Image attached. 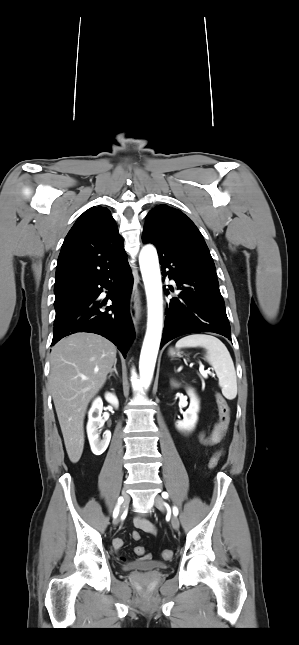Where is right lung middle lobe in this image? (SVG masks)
Listing matches in <instances>:
<instances>
[{
  "mask_svg": "<svg viewBox=\"0 0 299 645\" xmlns=\"http://www.w3.org/2000/svg\"><path fill=\"white\" fill-rule=\"evenodd\" d=\"M81 285L72 286L65 289L54 291L55 293V310L56 312L64 308L70 301L80 295Z\"/></svg>",
  "mask_w": 299,
  "mask_h": 645,
  "instance_id": "obj_1",
  "label": "right lung middle lobe"
}]
</instances>
